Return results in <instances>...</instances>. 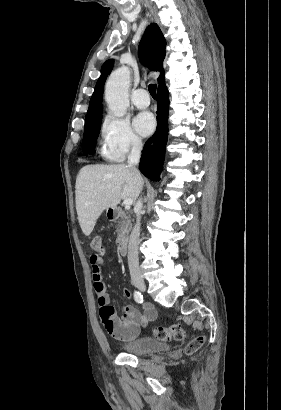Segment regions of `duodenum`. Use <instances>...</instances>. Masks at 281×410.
<instances>
[{
    "label": "duodenum",
    "instance_id": "1",
    "mask_svg": "<svg viewBox=\"0 0 281 410\" xmlns=\"http://www.w3.org/2000/svg\"><path fill=\"white\" fill-rule=\"evenodd\" d=\"M121 215H122L121 211H119L118 209H113L109 216H110L111 220H116ZM118 247H119V252L122 255L127 254V251H128V238L126 236H122L120 238L119 243H118Z\"/></svg>",
    "mask_w": 281,
    "mask_h": 410
}]
</instances>
